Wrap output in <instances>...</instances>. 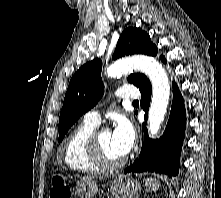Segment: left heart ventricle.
<instances>
[{
	"mask_svg": "<svg viewBox=\"0 0 221 198\" xmlns=\"http://www.w3.org/2000/svg\"><path fill=\"white\" fill-rule=\"evenodd\" d=\"M100 145L105 154V156L110 160H120L123 158L116 148L114 147L111 139V133L109 131H105L100 135Z\"/></svg>",
	"mask_w": 221,
	"mask_h": 198,
	"instance_id": "1",
	"label": "left heart ventricle"
}]
</instances>
